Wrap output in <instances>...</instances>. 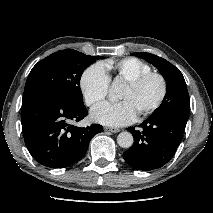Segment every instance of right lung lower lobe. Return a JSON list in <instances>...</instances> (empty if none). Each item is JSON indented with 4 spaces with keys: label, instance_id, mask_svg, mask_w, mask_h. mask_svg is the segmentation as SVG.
Listing matches in <instances>:
<instances>
[{
    "label": "right lung lower lobe",
    "instance_id": "1",
    "mask_svg": "<svg viewBox=\"0 0 213 213\" xmlns=\"http://www.w3.org/2000/svg\"><path fill=\"white\" fill-rule=\"evenodd\" d=\"M88 112L76 108L44 88L24 90L21 123L27 149L40 164L50 168H66L86 153L91 138L103 131L101 125L86 128L71 125Z\"/></svg>",
    "mask_w": 213,
    "mask_h": 213
}]
</instances>
